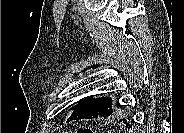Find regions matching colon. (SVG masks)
Segmentation results:
<instances>
[{
	"label": "colon",
	"instance_id": "5ec220e1",
	"mask_svg": "<svg viewBox=\"0 0 184 133\" xmlns=\"http://www.w3.org/2000/svg\"><path fill=\"white\" fill-rule=\"evenodd\" d=\"M77 132L78 133H92V131L87 128H80L77 130Z\"/></svg>",
	"mask_w": 184,
	"mask_h": 133
}]
</instances>
